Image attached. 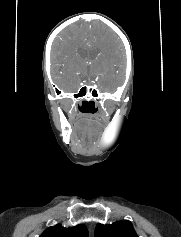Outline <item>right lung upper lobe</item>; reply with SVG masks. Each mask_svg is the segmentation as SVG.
Segmentation results:
<instances>
[{"mask_svg":"<svg viewBox=\"0 0 181 237\" xmlns=\"http://www.w3.org/2000/svg\"><path fill=\"white\" fill-rule=\"evenodd\" d=\"M39 237H88V230L84 224L69 228L57 224L47 228Z\"/></svg>","mask_w":181,"mask_h":237,"instance_id":"1","label":"right lung upper lobe"}]
</instances>
